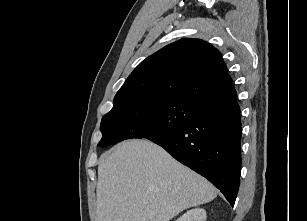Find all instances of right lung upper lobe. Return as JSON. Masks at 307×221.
I'll return each instance as SVG.
<instances>
[{
	"mask_svg": "<svg viewBox=\"0 0 307 221\" xmlns=\"http://www.w3.org/2000/svg\"><path fill=\"white\" fill-rule=\"evenodd\" d=\"M220 52L199 39L184 38L143 60L114 98L163 97L208 106L236 97Z\"/></svg>",
	"mask_w": 307,
	"mask_h": 221,
	"instance_id": "cb5924a9",
	"label": "right lung upper lobe"
}]
</instances>
